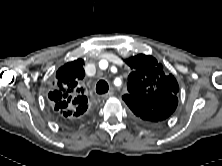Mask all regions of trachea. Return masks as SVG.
Returning <instances> with one entry per match:
<instances>
[{"mask_svg":"<svg viewBox=\"0 0 222 166\" xmlns=\"http://www.w3.org/2000/svg\"><path fill=\"white\" fill-rule=\"evenodd\" d=\"M109 90L108 83L105 80H100L96 85V92L98 94L107 93Z\"/></svg>","mask_w":222,"mask_h":166,"instance_id":"3493384b","label":"trachea"}]
</instances>
